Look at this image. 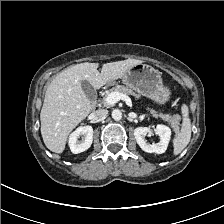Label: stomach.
Returning a JSON list of instances; mask_svg holds the SVG:
<instances>
[{
    "instance_id": "0dacf381",
    "label": "stomach",
    "mask_w": 224,
    "mask_h": 224,
    "mask_svg": "<svg viewBox=\"0 0 224 224\" xmlns=\"http://www.w3.org/2000/svg\"><path fill=\"white\" fill-rule=\"evenodd\" d=\"M122 82L158 104H165L171 95L170 89L163 84L161 73L147 64L131 67L122 77Z\"/></svg>"
}]
</instances>
